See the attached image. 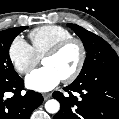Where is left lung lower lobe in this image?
Wrapping results in <instances>:
<instances>
[{
    "mask_svg": "<svg viewBox=\"0 0 119 119\" xmlns=\"http://www.w3.org/2000/svg\"><path fill=\"white\" fill-rule=\"evenodd\" d=\"M64 90L68 97L58 91L53 93L61 105L54 119H119V66L75 80ZM72 92L79 93L80 98Z\"/></svg>",
    "mask_w": 119,
    "mask_h": 119,
    "instance_id": "left-lung-lower-lobe-1",
    "label": "left lung lower lobe"
}]
</instances>
